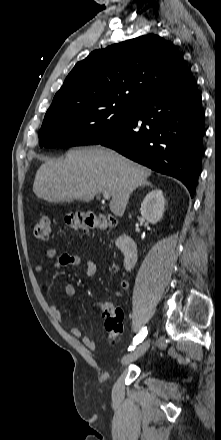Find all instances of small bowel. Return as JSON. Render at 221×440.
I'll list each match as a JSON object with an SVG mask.
<instances>
[{"label":"small bowel","instance_id":"1","mask_svg":"<svg viewBox=\"0 0 221 440\" xmlns=\"http://www.w3.org/2000/svg\"><path fill=\"white\" fill-rule=\"evenodd\" d=\"M45 258L47 260L53 261L54 268H61L66 266H80L83 268L85 275L88 277L94 276L97 271L96 264L92 260L82 259L80 256L75 254H67V253L58 254L54 248H48L46 250ZM35 270L37 273H41L43 271L42 263H37L35 266ZM120 287L122 289H126L128 287V283L126 281H122L120 283ZM63 290H64V294L68 297H74L76 295V287L72 283H66L64 285ZM49 309L51 314L57 321L59 322L63 321V314L57 305L51 304L49 306ZM70 333L75 338H81V341L86 348L90 350L97 349L96 342L92 338L88 336H84L82 334V331L78 327L70 328Z\"/></svg>","mask_w":221,"mask_h":440}]
</instances>
